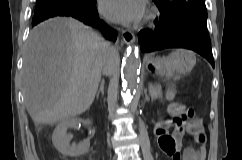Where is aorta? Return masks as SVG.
<instances>
[{
    "label": "aorta",
    "instance_id": "1",
    "mask_svg": "<svg viewBox=\"0 0 242 160\" xmlns=\"http://www.w3.org/2000/svg\"><path fill=\"white\" fill-rule=\"evenodd\" d=\"M140 60L138 56V48L129 47L122 63V79L126 86L131 90H135L139 80Z\"/></svg>",
    "mask_w": 242,
    "mask_h": 160
}]
</instances>
